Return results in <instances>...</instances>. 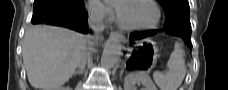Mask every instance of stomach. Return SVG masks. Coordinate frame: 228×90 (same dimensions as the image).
Listing matches in <instances>:
<instances>
[{"mask_svg":"<svg viewBox=\"0 0 228 90\" xmlns=\"http://www.w3.org/2000/svg\"><path fill=\"white\" fill-rule=\"evenodd\" d=\"M140 50L130 63L137 64L140 68H152L157 63L158 47L151 40H144L139 43Z\"/></svg>","mask_w":228,"mask_h":90,"instance_id":"1","label":"stomach"}]
</instances>
